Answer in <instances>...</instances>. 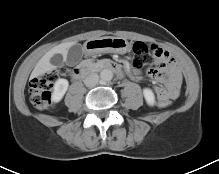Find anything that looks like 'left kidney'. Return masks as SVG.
Masks as SVG:
<instances>
[{"label": "left kidney", "instance_id": "left-kidney-1", "mask_svg": "<svg viewBox=\"0 0 219 174\" xmlns=\"http://www.w3.org/2000/svg\"><path fill=\"white\" fill-rule=\"evenodd\" d=\"M144 98L149 106L155 105V95L150 88L143 89Z\"/></svg>", "mask_w": 219, "mask_h": 174}]
</instances>
